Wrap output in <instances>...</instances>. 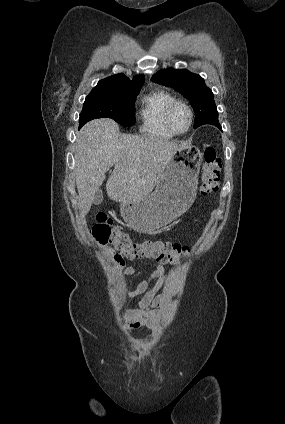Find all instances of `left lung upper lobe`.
Returning a JSON list of instances; mask_svg holds the SVG:
<instances>
[{
    "mask_svg": "<svg viewBox=\"0 0 285 424\" xmlns=\"http://www.w3.org/2000/svg\"><path fill=\"white\" fill-rule=\"evenodd\" d=\"M151 80L174 88L190 101L196 115L194 128L204 124L219 127L214 95L201 76L185 69H163L154 74Z\"/></svg>",
    "mask_w": 285,
    "mask_h": 424,
    "instance_id": "5c2ea615",
    "label": "left lung upper lobe"
}]
</instances>
